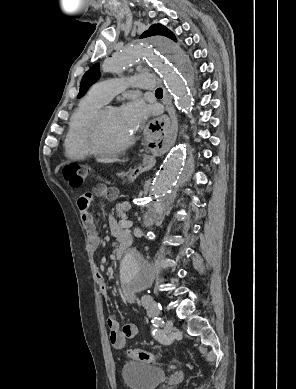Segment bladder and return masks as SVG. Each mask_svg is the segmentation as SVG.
<instances>
[{"label": "bladder", "mask_w": 296, "mask_h": 389, "mask_svg": "<svg viewBox=\"0 0 296 389\" xmlns=\"http://www.w3.org/2000/svg\"><path fill=\"white\" fill-rule=\"evenodd\" d=\"M121 375L128 389H155L166 379L164 369L134 361L124 363Z\"/></svg>", "instance_id": "31cf9c89"}]
</instances>
